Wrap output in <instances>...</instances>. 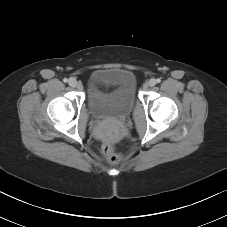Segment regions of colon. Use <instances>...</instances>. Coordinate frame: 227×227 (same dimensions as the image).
Listing matches in <instances>:
<instances>
[{"mask_svg":"<svg viewBox=\"0 0 227 227\" xmlns=\"http://www.w3.org/2000/svg\"><path fill=\"white\" fill-rule=\"evenodd\" d=\"M102 154L111 163L120 162L122 159V156L116 152L115 147L109 143H105L102 146Z\"/></svg>","mask_w":227,"mask_h":227,"instance_id":"obj_1","label":"colon"}]
</instances>
